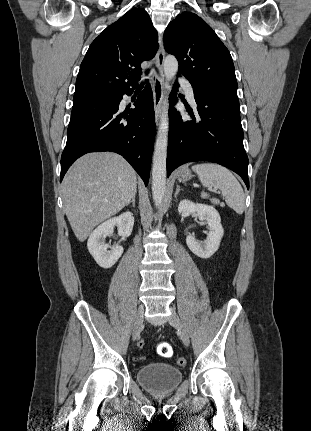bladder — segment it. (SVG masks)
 Listing matches in <instances>:
<instances>
[{
    "instance_id": "bladder-1",
    "label": "bladder",
    "mask_w": 311,
    "mask_h": 431,
    "mask_svg": "<svg viewBox=\"0 0 311 431\" xmlns=\"http://www.w3.org/2000/svg\"><path fill=\"white\" fill-rule=\"evenodd\" d=\"M137 382L153 394L174 391L183 380L182 371L168 363H149L136 372Z\"/></svg>"
}]
</instances>
